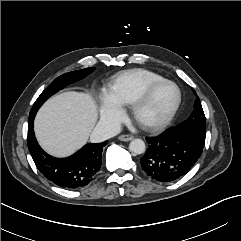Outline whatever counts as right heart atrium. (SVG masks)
<instances>
[{"label":"right heart atrium","instance_id":"right-heart-atrium-1","mask_svg":"<svg viewBox=\"0 0 241 241\" xmlns=\"http://www.w3.org/2000/svg\"><path fill=\"white\" fill-rule=\"evenodd\" d=\"M101 98V118L109 123L110 127H115L124 117L123 107L115 100L110 89L104 88L100 93Z\"/></svg>","mask_w":241,"mask_h":241}]
</instances>
